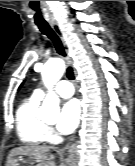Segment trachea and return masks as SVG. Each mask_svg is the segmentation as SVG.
Returning <instances> with one entry per match:
<instances>
[{
    "label": "trachea",
    "mask_w": 135,
    "mask_h": 166,
    "mask_svg": "<svg viewBox=\"0 0 135 166\" xmlns=\"http://www.w3.org/2000/svg\"><path fill=\"white\" fill-rule=\"evenodd\" d=\"M37 26H38L39 30L53 42V44L56 48V51L60 55L66 56L65 50H64V47H63V44H62L60 38L54 32V30L50 27V25L48 23H38ZM67 77L70 80H74V72H73L72 67H70V66L67 68Z\"/></svg>",
    "instance_id": "trachea-1"
}]
</instances>
